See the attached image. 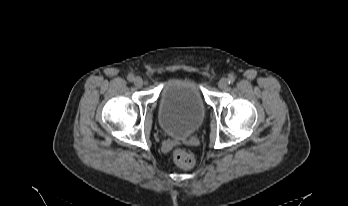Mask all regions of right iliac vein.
I'll use <instances>...</instances> for the list:
<instances>
[{"label": "right iliac vein", "mask_w": 348, "mask_h": 206, "mask_svg": "<svg viewBox=\"0 0 348 206\" xmlns=\"http://www.w3.org/2000/svg\"><path fill=\"white\" fill-rule=\"evenodd\" d=\"M134 85L137 87V88H140L143 86V80L141 77H136L134 79Z\"/></svg>", "instance_id": "63e3f726"}]
</instances>
